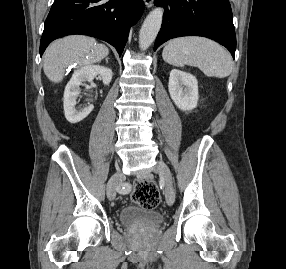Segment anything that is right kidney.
Here are the masks:
<instances>
[{"label": "right kidney", "instance_id": "1", "mask_svg": "<svg viewBox=\"0 0 286 269\" xmlns=\"http://www.w3.org/2000/svg\"><path fill=\"white\" fill-rule=\"evenodd\" d=\"M97 75L101 76L105 85H109L113 74L110 68L99 65H89L75 71L66 85L64 91V112L66 119L70 123L75 124L82 121L93 110L94 106L92 104H88L79 111L76 110L75 105L82 82H91Z\"/></svg>", "mask_w": 286, "mask_h": 269}]
</instances>
